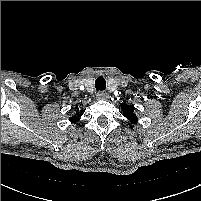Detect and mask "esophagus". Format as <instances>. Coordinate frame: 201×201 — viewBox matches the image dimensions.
<instances>
[{
  "label": "esophagus",
  "mask_w": 201,
  "mask_h": 201,
  "mask_svg": "<svg viewBox=\"0 0 201 201\" xmlns=\"http://www.w3.org/2000/svg\"><path fill=\"white\" fill-rule=\"evenodd\" d=\"M97 99L98 100H108L109 99V95L106 92H104V91H100L97 94Z\"/></svg>",
  "instance_id": "esophagus-1"
}]
</instances>
